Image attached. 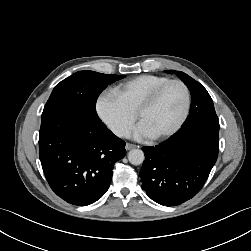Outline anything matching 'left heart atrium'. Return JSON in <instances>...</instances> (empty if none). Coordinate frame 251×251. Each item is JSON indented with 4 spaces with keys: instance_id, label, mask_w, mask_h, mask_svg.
<instances>
[{
    "instance_id": "obj_1",
    "label": "left heart atrium",
    "mask_w": 251,
    "mask_h": 251,
    "mask_svg": "<svg viewBox=\"0 0 251 251\" xmlns=\"http://www.w3.org/2000/svg\"><path fill=\"white\" fill-rule=\"evenodd\" d=\"M133 136L137 140L152 138V135L142 123H139L138 126L135 128Z\"/></svg>"
}]
</instances>
